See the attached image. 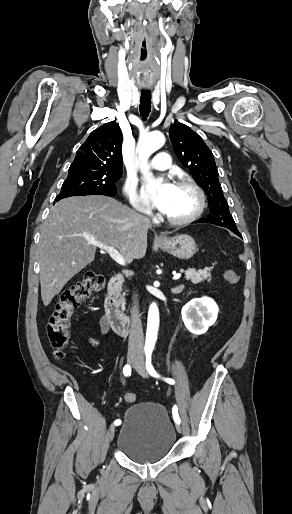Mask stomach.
<instances>
[{"mask_svg":"<svg viewBox=\"0 0 292 514\" xmlns=\"http://www.w3.org/2000/svg\"><path fill=\"white\" fill-rule=\"evenodd\" d=\"M163 252L179 258V260H189L196 252V242L187 234H180L174 238H165L164 242H159Z\"/></svg>","mask_w":292,"mask_h":514,"instance_id":"1","label":"stomach"}]
</instances>
